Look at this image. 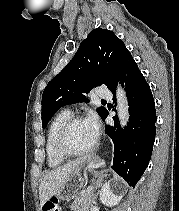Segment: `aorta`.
I'll list each match as a JSON object with an SVG mask.
<instances>
[{
  "instance_id": "obj_1",
  "label": "aorta",
  "mask_w": 179,
  "mask_h": 211,
  "mask_svg": "<svg viewBox=\"0 0 179 211\" xmlns=\"http://www.w3.org/2000/svg\"><path fill=\"white\" fill-rule=\"evenodd\" d=\"M116 98H117L116 109L118 112V118L120 121V125L123 128L127 125L130 115H129V106L126 92L121 88L120 85L117 86Z\"/></svg>"
}]
</instances>
